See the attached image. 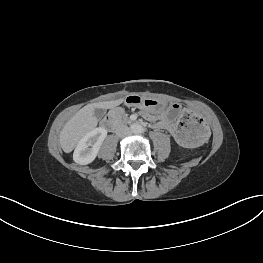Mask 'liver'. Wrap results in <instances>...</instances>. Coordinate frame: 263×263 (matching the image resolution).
<instances>
[{"label":"liver","mask_w":263,"mask_h":263,"mask_svg":"<svg viewBox=\"0 0 263 263\" xmlns=\"http://www.w3.org/2000/svg\"><path fill=\"white\" fill-rule=\"evenodd\" d=\"M124 99L88 104L81 108L62 128L59 141L65 153H70L78 142L91 130L95 129L98 119L95 109H110L120 105Z\"/></svg>","instance_id":"6515ba94"}]
</instances>
